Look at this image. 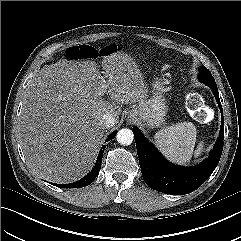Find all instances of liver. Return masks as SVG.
<instances>
[{
  "label": "liver",
  "instance_id": "liver-1",
  "mask_svg": "<svg viewBox=\"0 0 241 241\" xmlns=\"http://www.w3.org/2000/svg\"><path fill=\"white\" fill-rule=\"evenodd\" d=\"M102 70L103 76L94 61L62 59L31 80L18 128L27 165L42 179L70 183L85 176L106 129L102 116L109 112L118 122L120 104L147 98L142 73L129 55L104 57Z\"/></svg>",
  "mask_w": 241,
  "mask_h": 241
}]
</instances>
